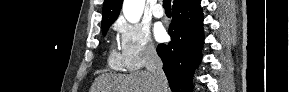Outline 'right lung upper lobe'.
<instances>
[{"mask_svg": "<svg viewBox=\"0 0 289 92\" xmlns=\"http://www.w3.org/2000/svg\"><path fill=\"white\" fill-rule=\"evenodd\" d=\"M192 0H174L173 6L183 5ZM123 0H105L102 13V28L111 25L118 17Z\"/></svg>", "mask_w": 289, "mask_h": 92, "instance_id": "1", "label": "right lung upper lobe"}]
</instances>
